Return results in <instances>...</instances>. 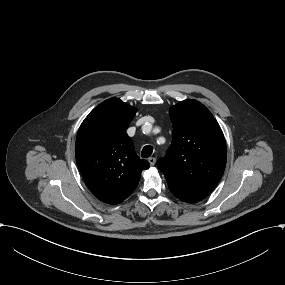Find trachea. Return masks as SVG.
Masks as SVG:
<instances>
[{"label": "trachea", "mask_w": 285, "mask_h": 285, "mask_svg": "<svg viewBox=\"0 0 285 285\" xmlns=\"http://www.w3.org/2000/svg\"><path fill=\"white\" fill-rule=\"evenodd\" d=\"M153 152V147L150 145L145 146L141 151V157L148 158Z\"/></svg>", "instance_id": "1"}]
</instances>
